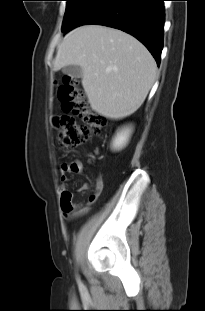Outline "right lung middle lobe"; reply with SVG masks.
Segmentation results:
<instances>
[{"instance_id": "dd1d6c3e", "label": "right lung middle lobe", "mask_w": 205, "mask_h": 311, "mask_svg": "<svg viewBox=\"0 0 205 311\" xmlns=\"http://www.w3.org/2000/svg\"><path fill=\"white\" fill-rule=\"evenodd\" d=\"M66 1L67 6L62 27L63 32H66L71 28L76 19L84 11L90 0H66Z\"/></svg>"}]
</instances>
